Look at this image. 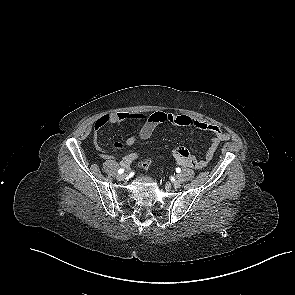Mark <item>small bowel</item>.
I'll return each instance as SVG.
<instances>
[{
	"label": "small bowel",
	"mask_w": 295,
	"mask_h": 295,
	"mask_svg": "<svg viewBox=\"0 0 295 295\" xmlns=\"http://www.w3.org/2000/svg\"><path fill=\"white\" fill-rule=\"evenodd\" d=\"M139 120L143 122L137 135H132L125 140L124 145L132 146L134 143L140 140H146L151 137L156 127L160 124H171L175 126L182 127H194L203 131H208L212 134L211 142L209 148L202 159H197L189 153V151L184 147H179L174 151V157L178 164L186 167H191L194 169H202L208 165V163L213 159L214 154L221 142L228 141L230 139V134L221 130V128L215 124L207 123L193 119L189 116L177 114V113H167L162 111H157L150 114H145L142 112H116L111 114H106L98 118L94 123V140L98 149L101 151L100 156L103 159H111L113 156L108 153L107 150L100 148L98 144V132L99 130L108 124H120L125 121ZM120 142L113 144V150H121L124 146ZM138 158L137 153L131 151L126 154L121 159V165L124 167H129L130 164Z\"/></svg>",
	"instance_id": "c3829d8e"
}]
</instances>
